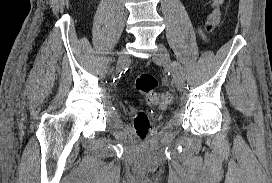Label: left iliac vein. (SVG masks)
<instances>
[{
	"label": "left iliac vein",
	"mask_w": 272,
	"mask_h": 183,
	"mask_svg": "<svg viewBox=\"0 0 272 183\" xmlns=\"http://www.w3.org/2000/svg\"><path fill=\"white\" fill-rule=\"evenodd\" d=\"M153 60L157 64H161L167 69H171L170 56L168 50L163 44H157V50L153 55ZM174 83L178 90L183 91L185 89L183 81H180L177 77H175Z\"/></svg>",
	"instance_id": "left-iliac-vein-1"
}]
</instances>
